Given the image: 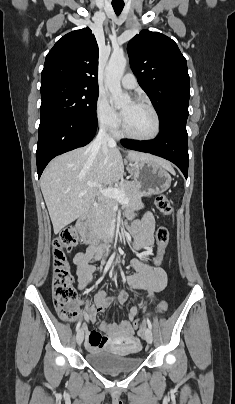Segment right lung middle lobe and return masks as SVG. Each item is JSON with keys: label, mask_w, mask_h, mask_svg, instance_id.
I'll list each match as a JSON object with an SVG mask.
<instances>
[{"label": "right lung middle lobe", "mask_w": 235, "mask_h": 404, "mask_svg": "<svg viewBox=\"0 0 235 404\" xmlns=\"http://www.w3.org/2000/svg\"><path fill=\"white\" fill-rule=\"evenodd\" d=\"M40 117L64 115L74 119H96L98 90L66 83L41 85Z\"/></svg>", "instance_id": "obj_1"}]
</instances>
